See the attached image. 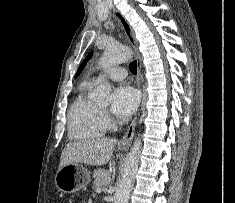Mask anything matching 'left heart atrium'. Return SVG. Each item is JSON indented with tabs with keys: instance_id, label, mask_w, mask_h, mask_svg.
<instances>
[{
	"instance_id": "obj_1",
	"label": "left heart atrium",
	"mask_w": 235,
	"mask_h": 203,
	"mask_svg": "<svg viewBox=\"0 0 235 203\" xmlns=\"http://www.w3.org/2000/svg\"><path fill=\"white\" fill-rule=\"evenodd\" d=\"M139 103L138 92L127 85L116 88L112 94L111 112L118 119H125L133 114Z\"/></svg>"
}]
</instances>
